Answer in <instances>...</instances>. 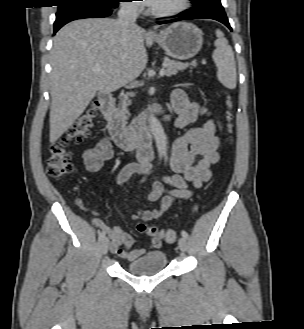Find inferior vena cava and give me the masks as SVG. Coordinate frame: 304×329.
Masks as SVG:
<instances>
[{
    "label": "inferior vena cava",
    "mask_w": 304,
    "mask_h": 329,
    "mask_svg": "<svg viewBox=\"0 0 304 329\" xmlns=\"http://www.w3.org/2000/svg\"><path fill=\"white\" fill-rule=\"evenodd\" d=\"M137 7L130 2H123L118 11V23L123 30H128L136 27Z\"/></svg>",
    "instance_id": "inferior-vena-cava-1"
}]
</instances>
